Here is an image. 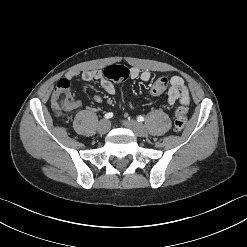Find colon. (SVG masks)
<instances>
[{"mask_svg": "<svg viewBox=\"0 0 247 247\" xmlns=\"http://www.w3.org/2000/svg\"><path fill=\"white\" fill-rule=\"evenodd\" d=\"M106 79L117 83L126 81L130 76V70L123 65H111L103 70ZM167 79L160 78L152 86L151 93L155 96L160 95L167 87ZM51 103L55 111L64 112L73 108L74 99L70 92L69 85L59 82L52 94ZM187 122V109L185 106H178L175 110L174 127L176 132H181Z\"/></svg>", "mask_w": 247, "mask_h": 247, "instance_id": "1", "label": "colon"}]
</instances>
